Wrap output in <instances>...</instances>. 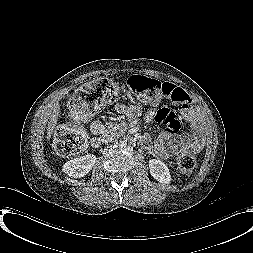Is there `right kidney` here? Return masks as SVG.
<instances>
[{"label": "right kidney", "mask_w": 253, "mask_h": 253, "mask_svg": "<svg viewBox=\"0 0 253 253\" xmlns=\"http://www.w3.org/2000/svg\"><path fill=\"white\" fill-rule=\"evenodd\" d=\"M96 162V156L87 154L74 158L63 165L62 171L69 177L81 178L87 175Z\"/></svg>", "instance_id": "ca27d5eb"}]
</instances>
